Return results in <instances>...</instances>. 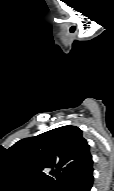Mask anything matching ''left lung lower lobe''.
<instances>
[{
	"mask_svg": "<svg viewBox=\"0 0 114 191\" xmlns=\"http://www.w3.org/2000/svg\"><path fill=\"white\" fill-rule=\"evenodd\" d=\"M92 157L77 173L60 189V191H90L93 184Z\"/></svg>",
	"mask_w": 114,
	"mask_h": 191,
	"instance_id": "1",
	"label": "left lung lower lobe"
}]
</instances>
